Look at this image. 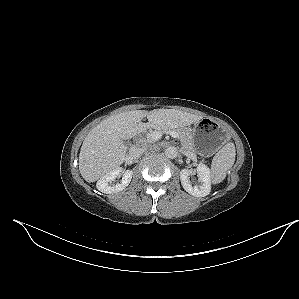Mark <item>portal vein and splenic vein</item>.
Wrapping results in <instances>:
<instances>
[{
    "mask_svg": "<svg viewBox=\"0 0 299 299\" xmlns=\"http://www.w3.org/2000/svg\"><path fill=\"white\" fill-rule=\"evenodd\" d=\"M169 135H171L173 138H177L178 134L175 131H168ZM162 137V133L160 131H153L148 134V138H150L152 141H158Z\"/></svg>",
    "mask_w": 299,
    "mask_h": 299,
    "instance_id": "1",
    "label": "portal vein and splenic vein"
}]
</instances>
